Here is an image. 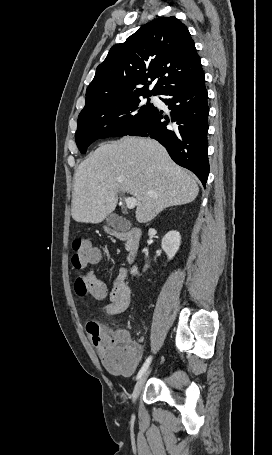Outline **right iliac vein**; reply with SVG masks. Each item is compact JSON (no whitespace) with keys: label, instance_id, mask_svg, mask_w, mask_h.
<instances>
[{"label":"right iliac vein","instance_id":"obj_1","mask_svg":"<svg viewBox=\"0 0 272 455\" xmlns=\"http://www.w3.org/2000/svg\"><path fill=\"white\" fill-rule=\"evenodd\" d=\"M150 373V370H148L147 372H145L140 378L139 380L137 381L135 387H134V390H133V394H132V399H133V402H135L145 384V381L148 377Z\"/></svg>","mask_w":272,"mask_h":455}]
</instances>
